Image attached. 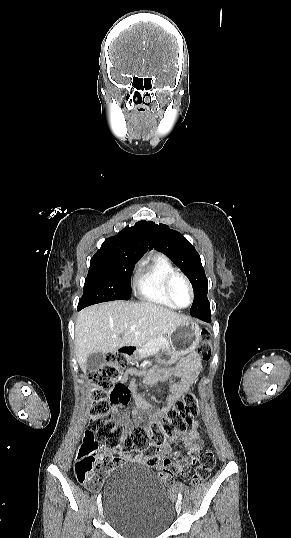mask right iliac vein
Here are the masks:
<instances>
[{
  "label": "right iliac vein",
  "instance_id": "obj_1",
  "mask_svg": "<svg viewBox=\"0 0 291 538\" xmlns=\"http://www.w3.org/2000/svg\"><path fill=\"white\" fill-rule=\"evenodd\" d=\"M98 511H99V514L101 515V513H102V503L98 504Z\"/></svg>",
  "mask_w": 291,
  "mask_h": 538
}]
</instances>
